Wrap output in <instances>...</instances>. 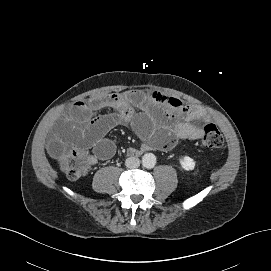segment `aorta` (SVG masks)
I'll list each match as a JSON object with an SVG mask.
<instances>
[{"label": "aorta", "mask_w": 271, "mask_h": 271, "mask_svg": "<svg viewBox=\"0 0 271 271\" xmlns=\"http://www.w3.org/2000/svg\"><path fill=\"white\" fill-rule=\"evenodd\" d=\"M142 164L146 168H153L156 164V156L152 153H146L142 157Z\"/></svg>", "instance_id": "762f6f07"}]
</instances>
